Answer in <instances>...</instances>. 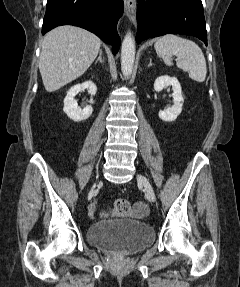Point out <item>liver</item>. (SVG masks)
Listing matches in <instances>:
<instances>
[{
  "label": "liver",
  "instance_id": "liver-1",
  "mask_svg": "<svg viewBox=\"0 0 240 287\" xmlns=\"http://www.w3.org/2000/svg\"><path fill=\"white\" fill-rule=\"evenodd\" d=\"M101 40L75 26L48 32L41 44L39 70L47 92H54L85 73L100 50Z\"/></svg>",
  "mask_w": 240,
  "mask_h": 287
}]
</instances>
